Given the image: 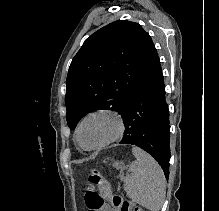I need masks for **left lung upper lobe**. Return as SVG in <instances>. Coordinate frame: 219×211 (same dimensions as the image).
I'll use <instances>...</instances> for the list:
<instances>
[{"mask_svg": "<svg viewBox=\"0 0 219 211\" xmlns=\"http://www.w3.org/2000/svg\"><path fill=\"white\" fill-rule=\"evenodd\" d=\"M159 65L152 39L138 23L118 20L93 33L73 58L66 79L70 129L95 110L123 116L132 95Z\"/></svg>", "mask_w": 219, "mask_h": 211, "instance_id": "5c2ea615", "label": "left lung upper lobe"}]
</instances>
